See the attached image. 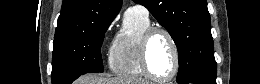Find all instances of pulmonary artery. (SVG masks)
<instances>
[{"mask_svg":"<svg viewBox=\"0 0 260 84\" xmlns=\"http://www.w3.org/2000/svg\"><path fill=\"white\" fill-rule=\"evenodd\" d=\"M127 11H139L145 16H149L148 10L142 6H132L127 9Z\"/></svg>","mask_w":260,"mask_h":84,"instance_id":"pulmonary-artery-1","label":"pulmonary artery"}]
</instances>
